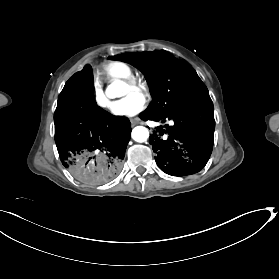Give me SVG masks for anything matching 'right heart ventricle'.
I'll return each instance as SVG.
<instances>
[{"label":"right heart ventricle","instance_id":"1","mask_svg":"<svg viewBox=\"0 0 279 279\" xmlns=\"http://www.w3.org/2000/svg\"><path fill=\"white\" fill-rule=\"evenodd\" d=\"M100 73L104 75L108 82L122 81L134 75L133 69L121 61H110L100 68Z\"/></svg>","mask_w":279,"mask_h":279}]
</instances>
